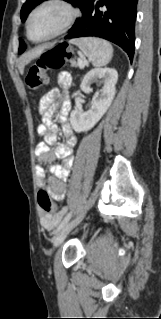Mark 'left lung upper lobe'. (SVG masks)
Returning a JSON list of instances; mask_svg holds the SVG:
<instances>
[{"label":"left lung upper lobe","mask_w":161,"mask_h":319,"mask_svg":"<svg viewBox=\"0 0 161 319\" xmlns=\"http://www.w3.org/2000/svg\"><path fill=\"white\" fill-rule=\"evenodd\" d=\"M45 0H27L24 5L22 6L21 9V20L24 22L26 20V17L28 16V14L41 2H43ZM69 3H72V5L77 6L81 9L82 13L84 14L87 6H88V2L90 0H65ZM79 20H77L75 22V24L73 25L72 29L74 28V26L77 24ZM26 46L25 43L23 42L22 39H20V47H19V53H22L25 50Z\"/></svg>","instance_id":"5c2ea615"}]
</instances>
